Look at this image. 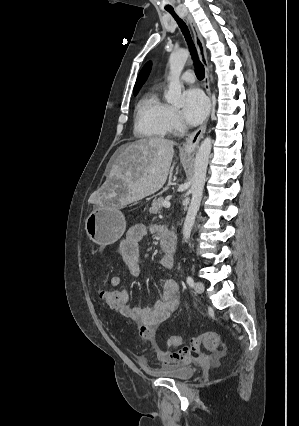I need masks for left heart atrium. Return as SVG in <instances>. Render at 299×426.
<instances>
[{
  "label": "left heart atrium",
  "instance_id": "left-heart-atrium-1",
  "mask_svg": "<svg viewBox=\"0 0 299 426\" xmlns=\"http://www.w3.org/2000/svg\"><path fill=\"white\" fill-rule=\"evenodd\" d=\"M208 112V101L197 88H190L184 92V106L182 116L192 125L199 124Z\"/></svg>",
  "mask_w": 299,
  "mask_h": 426
}]
</instances>
